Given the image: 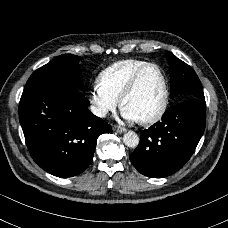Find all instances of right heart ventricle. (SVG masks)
<instances>
[{"label": "right heart ventricle", "instance_id": "1", "mask_svg": "<svg viewBox=\"0 0 228 228\" xmlns=\"http://www.w3.org/2000/svg\"><path fill=\"white\" fill-rule=\"evenodd\" d=\"M151 62L141 59H124L105 67L98 75L100 89L115 100H120L133 75Z\"/></svg>", "mask_w": 228, "mask_h": 228}]
</instances>
